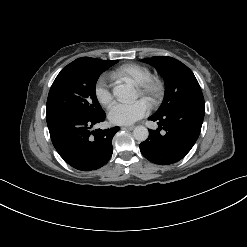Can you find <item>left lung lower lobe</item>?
Returning a JSON list of instances; mask_svg holds the SVG:
<instances>
[{"label":"left lung lower lobe","instance_id":"left-lung-lower-lobe-1","mask_svg":"<svg viewBox=\"0 0 247 247\" xmlns=\"http://www.w3.org/2000/svg\"><path fill=\"white\" fill-rule=\"evenodd\" d=\"M204 113L203 108L186 107L163 116H151L149 119L157 121L159 128L149 130V137L140 144L142 155L160 165L181 160L199 137Z\"/></svg>","mask_w":247,"mask_h":247}]
</instances>
